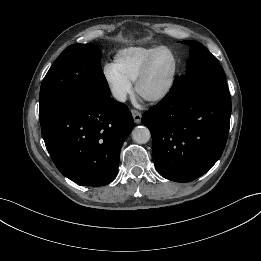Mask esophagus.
I'll return each instance as SVG.
<instances>
[{"label": "esophagus", "instance_id": "34e87169", "mask_svg": "<svg viewBox=\"0 0 261 261\" xmlns=\"http://www.w3.org/2000/svg\"><path fill=\"white\" fill-rule=\"evenodd\" d=\"M132 116L136 124H139L141 122L142 115L137 110H132Z\"/></svg>", "mask_w": 261, "mask_h": 261}]
</instances>
